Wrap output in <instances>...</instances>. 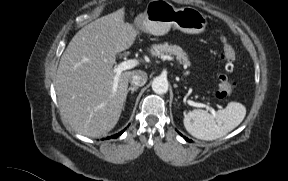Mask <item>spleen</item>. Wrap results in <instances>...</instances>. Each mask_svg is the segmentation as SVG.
<instances>
[{"label":"spleen","instance_id":"1","mask_svg":"<svg viewBox=\"0 0 288 181\" xmlns=\"http://www.w3.org/2000/svg\"><path fill=\"white\" fill-rule=\"evenodd\" d=\"M246 108L239 102H230L227 107L217 112L208 113L195 109L184 114L185 129L201 140H215L235 129L245 118Z\"/></svg>","mask_w":288,"mask_h":181}]
</instances>
